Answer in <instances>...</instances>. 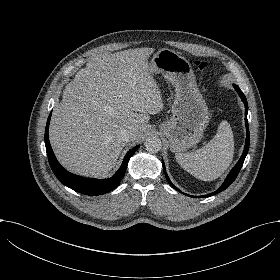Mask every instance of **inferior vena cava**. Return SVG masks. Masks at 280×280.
<instances>
[{
  "label": "inferior vena cava",
  "mask_w": 280,
  "mask_h": 280,
  "mask_svg": "<svg viewBox=\"0 0 280 280\" xmlns=\"http://www.w3.org/2000/svg\"><path fill=\"white\" fill-rule=\"evenodd\" d=\"M119 136L123 142H130L133 139V133H131L127 129H121L119 132Z\"/></svg>",
  "instance_id": "602c4592"
}]
</instances>
